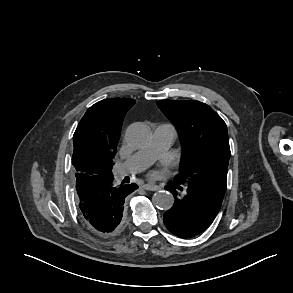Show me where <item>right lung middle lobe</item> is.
<instances>
[{
  "label": "right lung middle lobe",
  "instance_id": "dd1d6c3e",
  "mask_svg": "<svg viewBox=\"0 0 293 293\" xmlns=\"http://www.w3.org/2000/svg\"><path fill=\"white\" fill-rule=\"evenodd\" d=\"M111 166H108L106 164H102L100 165V167H98L96 169V172L93 173L92 175H100V176H110L111 175Z\"/></svg>",
  "mask_w": 293,
  "mask_h": 293
}]
</instances>
